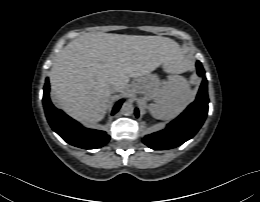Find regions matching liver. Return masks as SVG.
<instances>
[{
  "instance_id": "obj_1",
  "label": "liver",
  "mask_w": 260,
  "mask_h": 202,
  "mask_svg": "<svg viewBox=\"0 0 260 202\" xmlns=\"http://www.w3.org/2000/svg\"><path fill=\"white\" fill-rule=\"evenodd\" d=\"M159 65L167 73L187 68L178 43L161 36L86 33L57 55L49 78L55 102L71 117L95 124L106 114L111 87L126 90L130 77Z\"/></svg>"
}]
</instances>
